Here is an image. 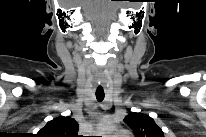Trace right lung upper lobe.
<instances>
[{"instance_id":"cb5924a9","label":"right lung upper lobe","mask_w":206,"mask_h":137,"mask_svg":"<svg viewBox=\"0 0 206 137\" xmlns=\"http://www.w3.org/2000/svg\"><path fill=\"white\" fill-rule=\"evenodd\" d=\"M78 123L71 117H57L49 121L38 135L40 137H77Z\"/></svg>"}]
</instances>
